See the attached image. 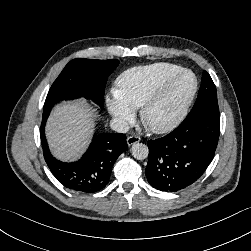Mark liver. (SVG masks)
<instances>
[{"label":"liver","instance_id":"liver-1","mask_svg":"<svg viewBox=\"0 0 251 251\" xmlns=\"http://www.w3.org/2000/svg\"><path fill=\"white\" fill-rule=\"evenodd\" d=\"M95 116V109L83 101L55 106L46 126L53 155L63 161L76 160L89 144Z\"/></svg>","mask_w":251,"mask_h":251}]
</instances>
